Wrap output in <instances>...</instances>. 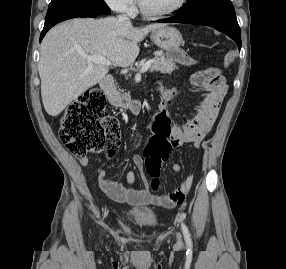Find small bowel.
<instances>
[{"mask_svg":"<svg viewBox=\"0 0 286 269\" xmlns=\"http://www.w3.org/2000/svg\"><path fill=\"white\" fill-rule=\"evenodd\" d=\"M161 96L162 100L159 105V111H169V108L172 104V91L163 89ZM205 100H207V98L195 106L185 126H169L171 138L174 142V148L181 147L185 144H192L193 147L199 148L202 144L203 138L212 130L218 118L219 110H203L202 106L205 105ZM133 163L136 170L140 173L141 181L144 184L143 189H134L128 186L135 180L134 172L128 173V185H124L122 183L108 179L105 170L102 168L99 170V187L101 190L105 192L110 198L119 202L140 205L152 204L166 208H175L182 205L183 202H181L180 195L183 191L187 193L190 190L193 183V176L191 174L186 177V179L180 185L179 189L169 194L155 195L148 189L149 182L144 174V157L142 155H135L133 158ZM80 164L84 167L87 166L89 164L88 158H81ZM172 170L174 172H180L182 170V166L180 164L174 163L172 165Z\"/></svg>","mask_w":286,"mask_h":269,"instance_id":"small-bowel-1","label":"small bowel"}]
</instances>
